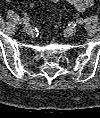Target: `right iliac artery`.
I'll list each match as a JSON object with an SVG mask.
<instances>
[{
  "label": "right iliac artery",
  "instance_id": "obj_1",
  "mask_svg": "<svg viewBox=\"0 0 100 118\" xmlns=\"http://www.w3.org/2000/svg\"><path fill=\"white\" fill-rule=\"evenodd\" d=\"M29 18L25 17L20 20V24H25V27L29 24Z\"/></svg>",
  "mask_w": 100,
  "mask_h": 118
}]
</instances>
